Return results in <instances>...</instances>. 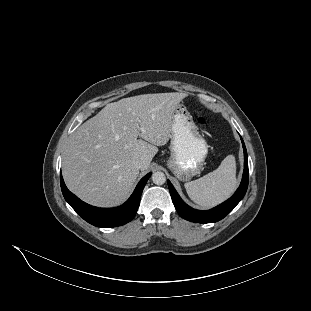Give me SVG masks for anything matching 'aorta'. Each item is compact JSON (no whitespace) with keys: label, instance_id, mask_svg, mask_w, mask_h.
I'll list each match as a JSON object with an SVG mask.
<instances>
[{"label":"aorta","instance_id":"1","mask_svg":"<svg viewBox=\"0 0 311 311\" xmlns=\"http://www.w3.org/2000/svg\"><path fill=\"white\" fill-rule=\"evenodd\" d=\"M152 181L156 185H163L166 182V176L161 171H156L152 174Z\"/></svg>","mask_w":311,"mask_h":311}]
</instances>
